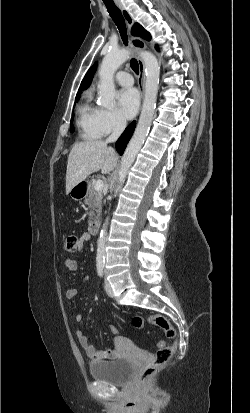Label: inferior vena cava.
I'll return each mask as SVG.
<instances>
[{
    "label": "inferior vena cava",
    "instance_id": "obj_1",
    "mask_svg": "<svg viewBox=\"0 0 250 413\" xmlns=\"http://www.w3.org/2000/svg\"><path fill=\"white\" fill-rule=\"evenodd\" d=\"M126 127V120L123 117H119L116 121L112 134L106 139V143H113L118 140L122 132Z\"/></svg>",
    "mask_w": 250,
    "mask_h": 413
}]
</instances>
